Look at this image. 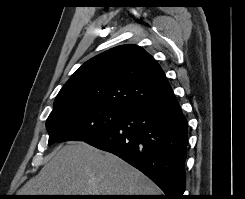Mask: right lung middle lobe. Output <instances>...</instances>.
<instances>
[{
    "label": "right lung middle lobe",
    "mask_w": 245,
    "mask_h": 199,
    "mask_svg": "<svg viewBox=\"0 0 245 199\" xmlns=\"http://www.w3.org/2000/svg\"><path fill=\"white\" fill-rule=\"evenodd\" d=\"M129 111L106 105L84 103L51 112L46 126L48 145L59 141H86L120 122Z\"/></svg>",
    "instance_id": "dd1d6c3e"
}]
</instances>
